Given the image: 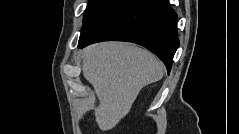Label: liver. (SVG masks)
Here are the masks:
<instances>
[{"label":"liver","mask_w":239,"mask_h":134,"mask_svg":"<svg viewBox=\"0 0 239 134\" xmlns=\"http://www.w3.org/2000/svg\"><path fill=\"white\" fill-rule=\"evenodd\" d=\"M82 71L99 99L96 122L103 131L123 119L140 90L163 78V64L148 50L123 42L87 47Z\"/></svg>","instance_id":"6515ba94"}]
</instances>
